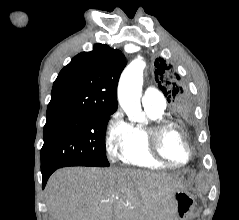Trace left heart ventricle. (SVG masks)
<instances>
[{"instance_id":"b2bd125f","label":"left heart ventricle","mask_w":239,"mask_h":220,"mask_svg":"<svg viewBox=\"0 0 239 220\" xmlns=\"http://www.w3.org/2000/svg\"><path fill=\"white\" fill-rule=\"evenodd\" d=\"M162 149L166 156L170 159L183 162L187 158V150L185 144L175 130H169L163 137Z\"/></svg>"}]
</instances>
